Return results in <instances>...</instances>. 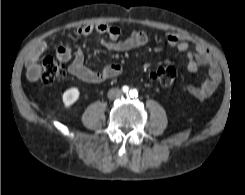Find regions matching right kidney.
Masks as SVG:
<instances>
[{
	"instance_id": "ca27d5eb",
	"label": "right kidney",
	"mask_w": 245,
	"mask_h": 195,
	"mask_svg": "<svg viewBox=\"0 0 245 195\" xmlns=\"http://www.w3.org/2000/svg\"><path fill=\"white\" fill-rule=\"evenodd\" d=\"M80 96L79 89L76 87H72L67 89L62 95V101L65 108H70Z\"/></svg>"
}]
</instances>
